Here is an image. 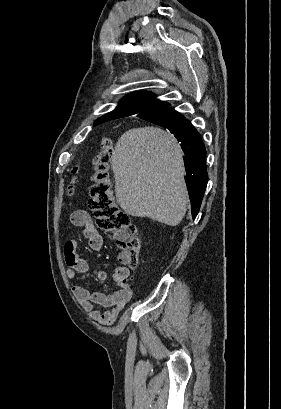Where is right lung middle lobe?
I'll use <instances>...</instances> for the list:
<instances>
[{
    "mask_svg": "<svg viewBox=\"0 0 281 409\" xmlns=\"http://www.w3.org/2000/svg\"><path fill=\"white\" fill-rule=\"evenodd\" d=\"M179 119H180L179 117L164 116V117L152 118L148 121L166 128L167 126L177 122Z\"/></svg>",
    "mask_w": 281,
    "mask_h": 409,
    "instance_id": "right-lung-middle-lobe-1",
    "label": "right lung middle lobe"
}]
</instances>
